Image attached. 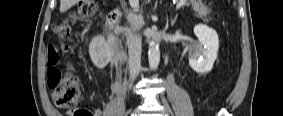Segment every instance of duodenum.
Instances as JSON below:
<instances>
[{
  "instance_id": "obj_1",
  "label": "duodenum",
  "mask_w": 283,
  "mask_h": 116,
  "mask_svg": "<svg viewBox=\"0 0 283 116\" xmlns=\"http://www.w3.org/2000/svg\"><path fill=\"white\" fill-rule=\"evenodd\" d=\"M120 15H121V9L115 8L111 10L106 17V29L114 40H115V35H114L115 26ZM124 59H125L124 53L121 52V56L118 58V63H123Z\"/></svg>"
}]
</instances>
